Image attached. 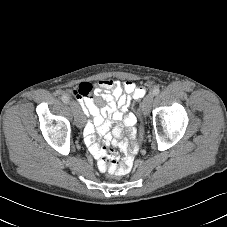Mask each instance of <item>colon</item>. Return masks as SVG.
<instances>
[{
  "label": "colon",
  "instance_id": "colon-1",
  "mask_svg": "<svg viewBox=\"0 0 227 227\" xmlns=\"http://www.w3.org/2000/svg\"><path fill=\"white\" fill-rule=\"evenodd\" d=\"M134 109L136 113L139 115L140 114L139 102H136L134 104ZM141 136H142V132H140L139 134V137ZM98 163L101 164L110 175L119 176L128 172L131 169L133 164V159H132V156L127 155L124 164H119L114 154L106 153L101 156Z\"/></svg>",
  "mask_w": 227,
  "mask_h": 227
}]
</instances>
